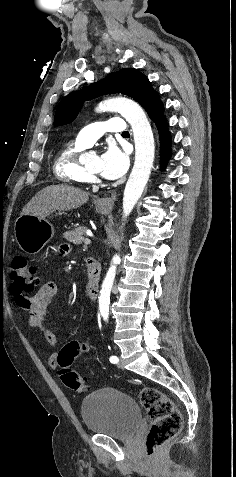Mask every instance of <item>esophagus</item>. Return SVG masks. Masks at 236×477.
Masks as SVG:
<instances>
[{
    "mask_svg": "<svg viewBox=\"0 0 236 477\" xmlns=\"http://www.w3.org/2000/svg\"><path fill=\"white\" fill-rule=\"evenodd\" d=\"M117 196L115 193H113L109 197H103L97 200V203L99 206H101L104 209L111 210L113 208V204L116 200Z\"/></svg>",
    "mask_w": 236,
    "mask_h": 477,
    "instance_id": "obj_1",
    "label": "esophagus"
}]
</instances>
